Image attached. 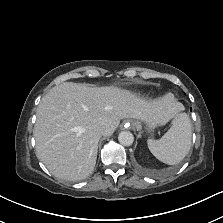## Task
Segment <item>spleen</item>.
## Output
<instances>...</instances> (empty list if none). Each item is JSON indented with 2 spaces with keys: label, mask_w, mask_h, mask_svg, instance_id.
<instances>
[{
  "label": "spleen",
  "mask_w": 223,
  "mask_h": 223,
  "mask_svg": "<svg viewBox=\"0 0 223 223\" xmlns=\"http://www.w3.org/2000/svg\"><path fill=\"white\" fill-rule=\"evenodd\" d=\"M192 125L186 113H180L171 128L158 140L148 139L150 152L168 165L178 164L191 148Z\"/></svg>",
  "instance_id": "obj_1"
}]
</instances>
